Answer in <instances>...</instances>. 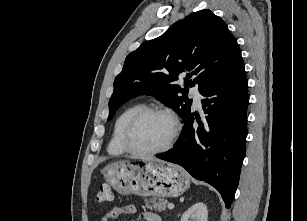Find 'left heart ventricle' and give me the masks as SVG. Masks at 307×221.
Instances as JSON below:
<instances>
[{"mask_svg": "<svg viewBox=\"0 0 307 221\" xmlns=\"http://www.w3.org/2000/svg\"><path fill=\"white\" fill-rule=\"evenodd\" d=\"M173 131L170 118L161 114H150L144 117L132 134V143L142 150H153L161 147Z\"/></svg>", "mask_w": 307, "mask_h": 221, "instance_id": "b2bd125f", "label": "left heart ventricle"}]
</instances>
